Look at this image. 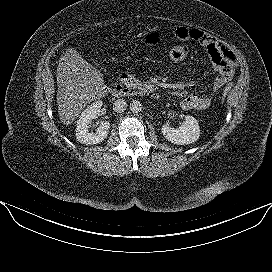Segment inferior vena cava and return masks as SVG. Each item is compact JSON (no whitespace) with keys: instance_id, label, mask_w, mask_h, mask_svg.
<instances>
[{"instance_id":"inferior-vena-cava-1","label":"inferior vena cava","mask_w":272,"mask_h":272,"mask_svg":"<svg viewBox=\"0 0 272 272\" xmlns=\"http://www.w3.org/2000/svg\"><path fill=\"white\" fill-rule=\"evenodd\" d=\"M127 108V103L123 99H118L113 103V110L115 112L121 113L124 112Z\"/></svg>"}]
</instances>
